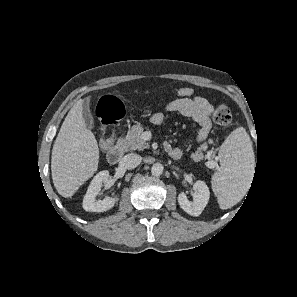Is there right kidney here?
<instances>
[{
  "label": "right kidney",
  "instance_id": "right-kidney-1",
  "mask_svg": "<svg viewBox=\"0 0 297 297\" xmlns=\"http://www.w3.org/2000/svg\"><path fill=\"white\" fill-rule=\"evenodd\" d=\"M108 178V171H101L94 176L83 199L82 206L85 211L104 212L113 208L115 203L118 202L119 198L117 196L114 198L105 197L102 201L96 200V196L100 192L102 183L106 182Z\"/></svg>",
  "mask_w": 297,
  "mask_h": 297
}]
</instances>
